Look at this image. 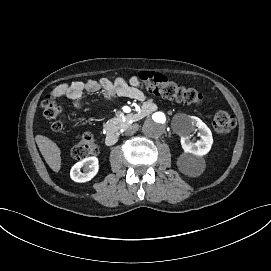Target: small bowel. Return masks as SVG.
I'll return each instance as SVG.
<instances>
[{
	"instance_id": "1",
	"label": "small bowel",
	"mask_w": 271,
	"mask_h": 271,
	"mask_svg": "<svg viewBox=\"0 0 271 271\" xmlns=\"http://www.w3.org/2000/svg\"><path fill=\"white\" fill-rule=\"evenodd\" d=\"M100 90L109 99L126 97L142 101L143 108L147 111L155 108V103L146 97L140 82L135 76L130 77L128 81L122 77H117L114 81L101 78L99 80L88 79L75 81L71 84H62L53 91L52 96L67 97L76 108H84L86 106V102L83 99L84 93H95Z\"/></svg>"
}]
</instances>
